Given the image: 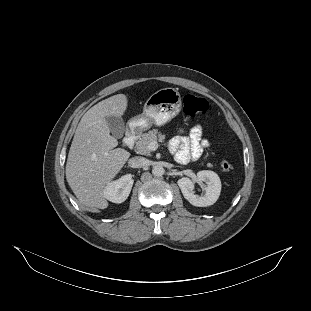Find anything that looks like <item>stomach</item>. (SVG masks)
Wrapping results in <instances>:
<instances>
[{
	"label": "stomach",
	"mask_w": 311,
	"mask_h": 311,
	"mask_svg": "<svg viewBox=\"0 0 311 311\" xmlns=\"http://www.w3.org/2000/svg\"><path fill=\"white\" fill-rule=\"evenodd\" d=\"M182 110L181 94L175 88H163L153 93L144 103L143 113L131 118L127 126L145 131L151 124L163 125L175 118Z\"/></svg>",
	"instance_id": "stomach-1"
}]
</instances>
